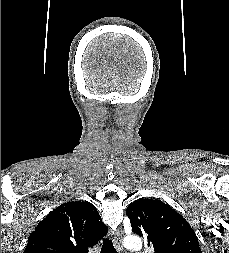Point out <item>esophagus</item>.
<instances>
[{
  "mask_svg": "<svg viewBox=\"0 0 229 253\" xmlns=\"http://www.w3.org/2000/svg\"><path fill=\"white\" fill-rule=\"evenodd\" d=\"M122 239H123V233L122 231H118L116 235L114 236V245L117 248L118 252H122L123 247H122Z\"/></svg>",
  "mask_w": 229,
  "mask_h": 253,
  "instance_id": "1",
  "label": "esophagus"
}]
</instances>
